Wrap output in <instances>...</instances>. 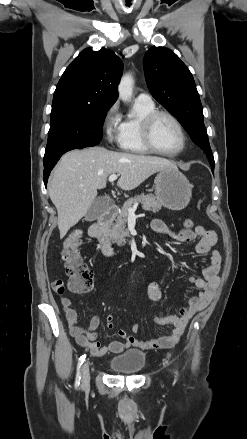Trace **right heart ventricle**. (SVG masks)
Returning <instances> with one entry per match:
<instances>
[{
	"mask_svg": "<svg viewBox=\"0 0 247 439\" xmlns=\"http://www.w3.org/2000/svg\"><path fill=\"white\" fill-rule=\"evenodd\" d=\"M153 102L135 101L131 113L122 121V136L119 146L122 150L133 153H148L141 137L143 119L155 111Z\"/></svg>",
	"mask_w": 247,
	"mask_h": 439,
	"instance_id": "right-heart-ventricle-1",
	"label": "right heart ventricle"
}]
</instances>
